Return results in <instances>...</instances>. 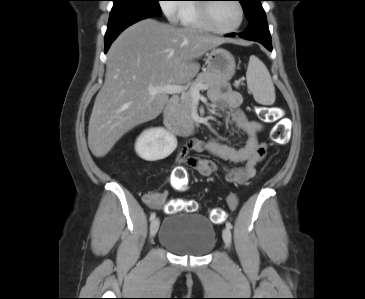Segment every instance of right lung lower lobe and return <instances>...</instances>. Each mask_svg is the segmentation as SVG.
Wrapping results in <instances>:
<instances>
[{"instance_id":"98d812e1","label":"right lung lower lobe","mask_w":365,"mask_h":299,"mask_svg":"<svg viewBox=\"0 0 365 299\" xmlns=\"http://www.w3.org/2000/svg\"><path fill=\"white\" fill-rule=\"evenodd\" d=\"M161 13L155 12H139V13H129L124 16L109 19L107 32L105 34V53L110 48L112 42L117 38V36L125 30L130 25L153 16H158Z\"/></svg>"}]
</instances>
